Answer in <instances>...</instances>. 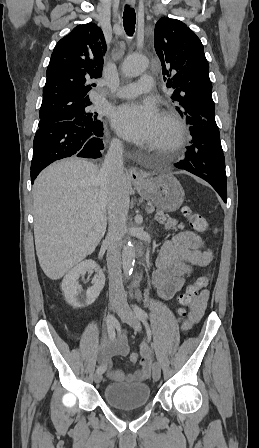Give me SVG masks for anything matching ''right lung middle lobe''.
Wrapping results in <instances>:
<instances>
[{
    "instance_id": "dd1d6c3e",
    "label": "right lung middle lobe",
    "mask_w": 259,
    "mask_h": 448,
    "mask_svg": "<svg viewBox=\"0 0 259 448\" xmlns=\"http://www.w3.org/2000/svg\"><path fill=\"white\" fill-rule=\"evenodd\" d=\"M90 105L91 104L72 107L51 113L39 114L40 121L38 126L41 128L46 125L62 121H73L76 125L86 128H94L99 126L102 121L98 117L97 113H94L89 109Z\"/></svg>"
}]
</instances>
